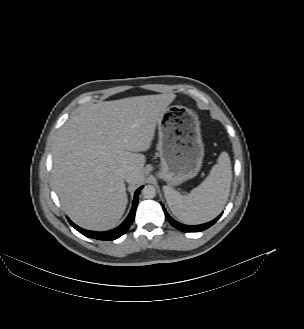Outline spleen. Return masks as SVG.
<instances>
[{
  "instance_id": "3e777b00",
  "label": "spleen",
  "mask_w": 304,
  "mask_h": 329,
  "mask_svg": "<svg viewBox=\"0 0 304 329\" xmlns=\"http://www.w3.org/2000/svg\"><path fill=\"white\" fill-rule=\"evenodd\" d=\"M232 170L230 157L222 152L208 177L188 195L169 186L163 191L172 213L186 224H201L214 219L224 208L230 193Z\"/></svg>"
}]
</instances>
